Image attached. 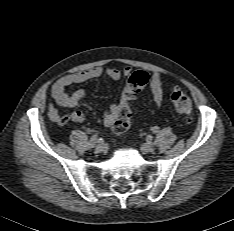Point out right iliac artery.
<instances>
[{"label": "right iliac artery", "mask_w": 234, "mask_h": 231, "mask_svg": "<svg viewBox=\"0 0 234 231\" xmlns=\"http://www.w3.org/2000/svg\"><path fill=\"white\" fill-rule=\"evenodd\" d=\"M97 142H98L97 136H96V135H93V136L90 138V141H89V143H88L89 148H93Z\"/></svg>", "instance_id": "obj_1"}]
</instances>
